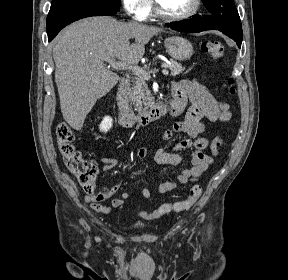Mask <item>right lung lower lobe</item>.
<instances>
[{"mask_svg":"<svg viewBox=\"0 0 288 280\" xmlns=\"http://www.w3.org/2000/svg\"><path fill=\"white\" fill-rule=\"evenodd\" d=\"M118 11L95 1L80 0L50 9L47 17L48 40L51 41L66 25L88 16H113Z\"/></svg>","mask_w":288,"mask_h":280,"instance_id":"right-lung-lower-lobe-1","label":"right lung lower lobe"}]
</instances>
